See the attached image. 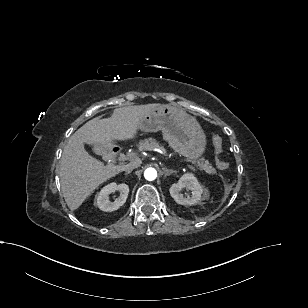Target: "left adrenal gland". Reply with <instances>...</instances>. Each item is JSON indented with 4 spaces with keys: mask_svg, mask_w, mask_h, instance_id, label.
<instances>
[{
    "mask_svg": "<svg viewBox=\"0 0 308 308\" xmlns=\"http://www.w3.org/2000/svg\"><path fill=\"white\" fill-rule=\"evenodd\" d=\"M163 171H164V176L165 177L170 175V174H172V173H176L175 170H168L167 168H163Z\"/></svg>",
    "mask_w": 308,
    "mask_h": 308,
    "instance_id": "a2214340",
    "label": "left adrenal gland"
}]
</instances>
